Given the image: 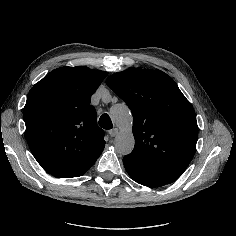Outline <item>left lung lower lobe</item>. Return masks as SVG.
<instances>
[{"label": "left lung lower lobe", "instance_id": "obj_1", "mask_svg": "<svg viewBox=\"0 0 236 236\" xmlns=\"http://www.w3.org/2000/svg\"><path fill=\"white\" fill-rule=\"evenodd\" d=\"M123 164L130 177L139 184L148 187H160L169 184L165 180L147 172L132 162L123 159Z\"/></svg>", "mask_w": 236, "mask_h": 236}]
</instances>
